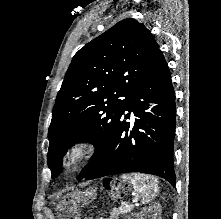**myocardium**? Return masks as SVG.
<instances>
[{
	"mask_svg": "<svg viewBox=\"0 0 221 219\" xmlns=\"http://www.w3.org/2000/svg\"><path fill=\"white\" fill-rule=\"evenodd\" d=\"M94 144L87 138L71 143L61 158V165L66 170H74L84 164L92 155Z\"/></svg>",
	"mask_w": 221,
	"mask_h": 219,
	"instance_id": "obj_1",
	"label": "myocardium"
}]
</instances>
